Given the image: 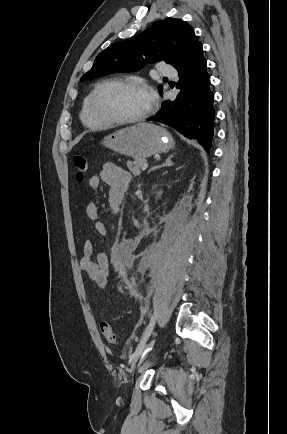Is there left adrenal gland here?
I'll use <instances>...</instances> for the list:
<instances>
[{"label":"left adrenal gland","mask_w":287,"mask_h":434,"mask_svg":"<svg viewBox=\"0 0 287 434\" xmlns=\"http://www.w3.org/2000/svg\"><path fill=\"white\" fill-rule=\"evenodd\" d=\"M172 157H173V155H170L162 165H159V166H155V167H153V168L151 169V171H152V170L159 169V168H161V167H169V166H172V165H173V162H172V160H171Z\"/></svg>","instance_id":"obj_1"}]
</instances>
